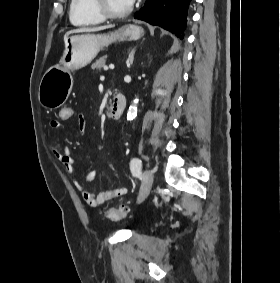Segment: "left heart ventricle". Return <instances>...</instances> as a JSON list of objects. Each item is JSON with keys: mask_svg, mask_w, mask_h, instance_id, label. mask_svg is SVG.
Listing matches in <instances>:
<instances>
[{"mask_svg": "<svg viewBox=\"0 0 280 283\" xmlns=\"http://www.w3.org/2000/svg\"><path fill=\"white\" fill-rule=\"evenodd\" d=\"M106 4L113 12L125 11L130 6L128 0H106Z\"/></svg>", "mask_w": 280, "mask_h": 283, "instance_id": "b2bd125f", "label": "left heart ventricle"}]
</instances>
